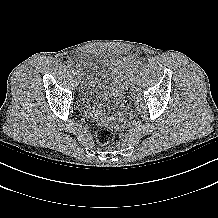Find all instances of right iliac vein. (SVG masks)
<instances>
[{
	"instance_id": "obj_1",
	"label": "right iliac vein",
	"mask_w": 218,
	"mask_h": 218,
	"mask_svg": "<svg viewBox=\"0 0 218 218\" xmlns=\"http://www.w3.org/2000/svg\"><path fill=\"white\" fill-rule=\"evenodd\" d=\"M73 72H74V75L76 76V79H78L79 78V73H77L76 70H74Z\"/></svg>"
}]
</instances>
